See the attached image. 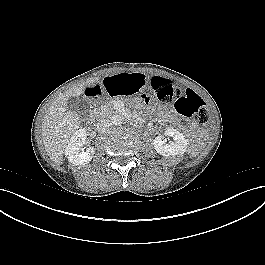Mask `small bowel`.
<instances>
[{
	"label": "small bowel",
	"instance_id": "obj_1",
	"mask_svg": "<svg viewBox=\"0 0 265 265\" xmlns=\"http://www.w3.org/2000/svg\"><path fill=\"white\" fill-rule=\"evenodd\" d=\"M145 83L146 80L142 74H118L105 78L101 84H95V88L104 87L108 94L116 96L127 94L131 89H142ZM159 112L165 118L175 117V112L168 108H160Z\"/></svg>",
	"mask_w": 265,
	"mask_h": 265
}]
</instances>
